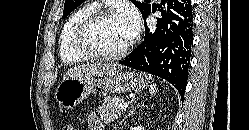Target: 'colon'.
<instances>
[{
  "label": "colon",
  "instance_id": "colon-1",
  "mask_svg": "<svg viewBox=\"0 0 249 130\" xmlns=\"http://www.w3.org/2000/svg\"><path fill=\"white\" fill-rule=\"evenodd\" d=\"M61 130H79V129L72 123H65L63 124Z\"/></svg>",
  "mask_w": 249,
  "mask_h": 130
}]
</instances>
